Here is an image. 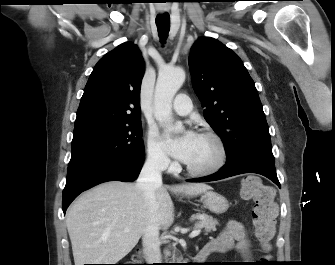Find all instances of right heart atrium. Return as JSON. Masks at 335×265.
<instances>
[{
    "mask_svg": "<svg viewBox=\"0 0 335 265\" xmlns=\"http://www.w3.org/2000/svg\"><path fill=\"white\" fill-rule=\"evenodd\" d=\"M146 159L150 166L157 170H167L171 161L167 156L164 146L161 143L155 130H149L146 141Z\"/></svg>",
    "mask_w": 335,
    "mask_h": 265,
    "instance_id": "d8ad5b80",
    "label": "right heart atrium"
}]
</instances>
